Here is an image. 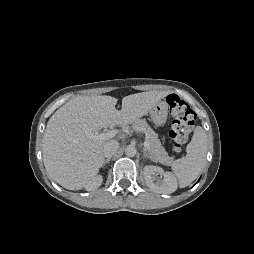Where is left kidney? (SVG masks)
Instances as JSON below:
<instances>
[{"instance_id": "5707ae66", "label": "left kidney", "mask_w": 254, "mask_h": 254, "mask_svg": "<svg viewBox=\"0 0 254 254\" xmlns=\"http://www.w3.org/2000/svg\"><path fill=\"white\" fill-rule=\"evenodd\" d=\"M158 175L163 176L161 180ZM144 178L147 186L154 192L171 194L177 189V181L171 172H165L162 168L148 165L144 167Z\"/></svg>"}]
</instances>
